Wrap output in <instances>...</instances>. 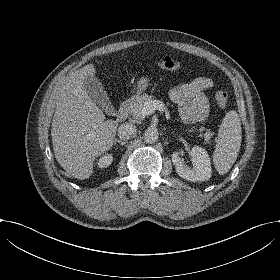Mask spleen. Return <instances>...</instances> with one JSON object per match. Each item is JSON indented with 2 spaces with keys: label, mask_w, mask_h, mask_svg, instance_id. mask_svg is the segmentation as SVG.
Here are the masks:
<instances>
[{
  "label": "spleen",
  "mask_w": 280,
  "mask_h": 280,
  "mask_svg": "<svg viewBox=\"0 0 280 280\" xmlns=\"http://www.w3.org/2000/svg\"><path fill=\"white\" fill-rule=\"evenodd\" d=\"M242 140L240 118L236 111L227 113L218 132V141L213 155L215 169L226 174L237 159Z\"/></svg>",
  "instance_id": "obj_1"
}]
</instances>
